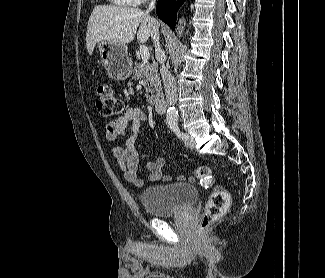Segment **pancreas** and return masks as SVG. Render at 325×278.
<instances>
[{"instance_id":"1","label":"pancreas","mask_w":325,"mask_h":278,"mask_svg":"<svg viewBox=\"0 0 325 278\" xmlns=\"http://www.w3.org/2000/svg\"><path fill=\"white\" fill-rule=\"evenodd\" d=\"M134 79H141L144 82L146 89V99L150 103H155L156 99L161 95V81L157 74V68L155 65L142 61L140 63L135 62L134 66Z\"/></svg>"}]
</instances>
